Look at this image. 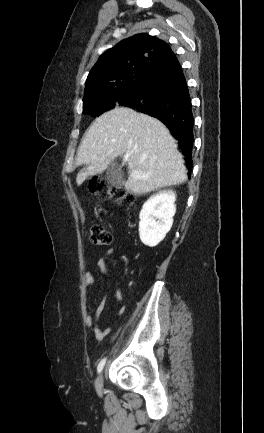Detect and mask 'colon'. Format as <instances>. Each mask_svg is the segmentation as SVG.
Instances as JSON below:
<instances>
[{
  "label": "colon",
  "instance_id": "colon-1",
  "mask_svg": "<svg viewBox=\"0 0 264 433\" xmlns=\"http://www.w3.org/2000/svg\"><path fill=\"white\" fill-rule=\"evenodd\" d=\"M89 190L100 198L113 199L117 202L130 203L133 201V195L126 190L117 189L109 186L107 183L92 179L89 184ZM113 240L112 232L103 225L94 224L90 228V241L96 246H106Z\"/></svg>",
  "mask_w": 264,
  "mask_h": 433
}]
</instances>
